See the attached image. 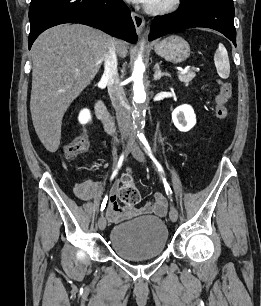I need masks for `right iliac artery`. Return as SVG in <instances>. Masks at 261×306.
<instances>
[{
	"label": "right iliac artery",
	"instance_id": "right-iliac-artery-1",
	"mask_svg": "<svg viewBox=\"0 0 261 306\" xmlns=\"http://www.w3.org/2000/svg\"><path fill=\"white\" fill-rule=\"evenodd\" d=\"M123 160H124V153H122V155L120 156V159L118 161V168L121 167L122 163H123ZM117 173V171L114 172L113 176ZM107 200H108V196H105V198L103 199V202L101 204V212H103V210L105 209L106 207V203H107Z\"/></svg>",
	"mask_w": 261,
	"mask_h": 306
}]
</instances>
